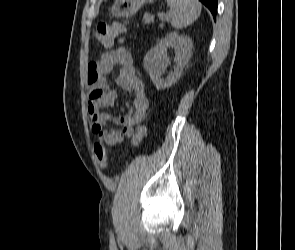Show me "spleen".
<instances>
[{
  "instance_id": "obj_1",
  "label": "spleen",
  "mask_w": 295,
  "mask_h": 250,
  "mask_svg": "<svg viewBox=\"0 0 295 250\" xmlns=\"http://www.w3.org/2000/svg\"><path fill=\"white\" fill-rule=\"evenodd\" d=\"M166 3L173 9L171 25L176 29L192 24L202 9L198 0H166Z\"/></svg>"
}]
</instances>
